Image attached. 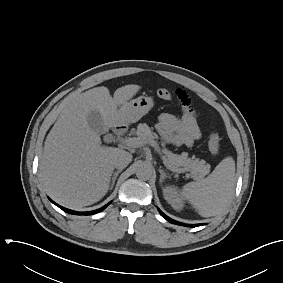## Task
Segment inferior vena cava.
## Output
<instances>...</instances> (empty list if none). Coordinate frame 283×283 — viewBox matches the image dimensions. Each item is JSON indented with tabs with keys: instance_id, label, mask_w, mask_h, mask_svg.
Segmentation results:
<instances>
[{
	"instance_id": "602c4592",
	"label": "inferior vena cava",
	"mask_w": 283,
	"mask_h": 283,
	"mask_svg": "<svg viewBox=\"0 0 283 283\" xmlns=\"http://www.w3.org/2000/svg\"><path fill=\"white\" fill-rule=\"evenodd\" d=\"M131 160H132V155L125 150H121L114 156L113 165L115 168L122 170L125 167H127V165L131 162Z\"/></svg>"
}]
</instances>
